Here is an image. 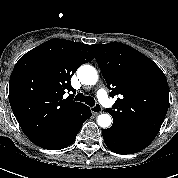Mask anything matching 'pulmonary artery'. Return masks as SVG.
I'll return each instance as SVG.
<instances>
[{
	"label": "pulmonary artery",
	"instance_id": "e3ab8cb5",
	"mask_svg": "<svg viewBox=\"0 0 178 178\" xmlns=\"http://www.w3.org/2000/svg\"><path fill=\"white\" fill-rule=\"evenodd\" d=\"M97 97L100 101V103L106 107V108H111L112 107V102L111 100L109 99L106 91L104 89H100L97 91Z\"/></svg>",
	"mask_w": 178,
	"mask_h": 178
}]
</instances>
